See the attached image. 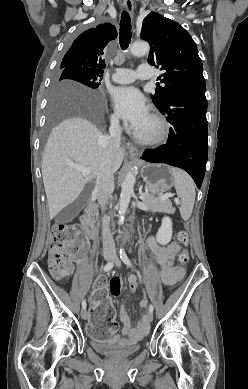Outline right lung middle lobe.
Masks as SVG:
<instances>
[{"instance_id": "1", "label": "right lung middle lobe", "mask_w": 248, "mask_h": 389, "mask_svg": "<svg viewBox=\"0 0 248 389\" xmlns=\"http://www.w3.org/2000/svg\"><path fill=\"white\" fill-rule=\"evenodd\" d=\"M60 71L55 79L56 84L77 82L92 89H98L101 85L102 75L88 69L61 65ZM70 113H81L94 120L100 116V107L90 105L84 101H77L70 104L53 103L50 108V119L53 121Z\"/></svg>"}]
</instances>
